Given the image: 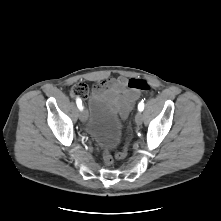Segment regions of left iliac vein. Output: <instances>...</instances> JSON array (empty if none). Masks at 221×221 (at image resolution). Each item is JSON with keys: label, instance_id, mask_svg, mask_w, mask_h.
Returning <instances> with one entry per match:
<instances>
[{"label": "left iliac vein", "instance_id": "obj_1", "mask_svg": "<svg viewBox=\"0 0 221 221\" xmlns=\"http://www.w3.org/2000/svg\"><path fill=\"white\" fill-rule=\"evenodd\" d=\"M143 121V114L141 111H138L135 115V122L137 125H141Z\"/></svg>", "mask_w": 221, "mask_h": 221}]
</instances>
